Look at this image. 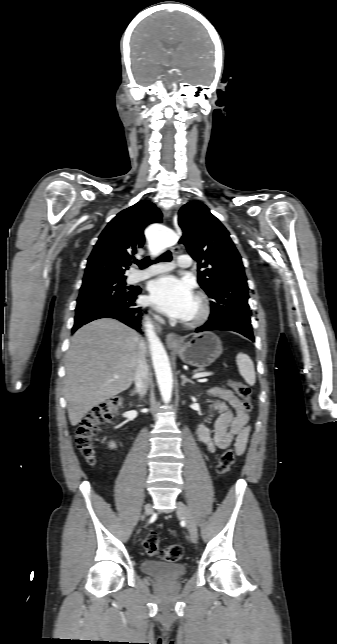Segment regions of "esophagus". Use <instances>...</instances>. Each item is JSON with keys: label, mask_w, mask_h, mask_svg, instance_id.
Listing matches in <instances>:
<instances>
[{"label": "esophagus", "mask_w": 337, "mask_h": 644, "mask_svg": "<svg viewBox=\"0 0 337 644\" xmlns=\"http://www.w3.org/2000/svg\"><path fill=\"white\" fill-rule=\"evenodd\" d=\"M164 217H165V219H166V220H169V218H170V213H169V212H167V211H166V212H164ZM171 251H172L174 254H176V253L178 252V248H177L176 246L171 247ZM166 343H167L169 346H178V345H180V344H181V339H180V337H179V335H178V334H176V333H174V332H170V333H168V334H167V336H166Z\"/></svg>", "instance_id": "esophagus-1"}]
</instances>
